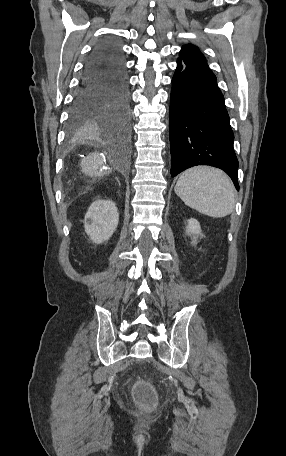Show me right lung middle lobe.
<instances>
[{"label": "right lung middle lobe", "instance_id": "obj_1", "mask_svg": "<svg viewBox=\"0 0 286 456\" xmlns=\"http://www.w3.org/2000/svg\"><path fill=\"white\" fill-rule=\"evenodd\" d=\"M93 129L105 131V129H103V128L100 127V126H95V127H93V128H90V130H93ZM126 129H127V127H126L125 125H118V126L116 127L117 132L120 133V134H123L124 131H125ZM129 136H130V130H129L128 136H127L126 138L122 137V140H123L124 142L127 143L128 140H129Z\"/></svg>", "mask_w": 286, "mask_h": 456}]
</instances>
